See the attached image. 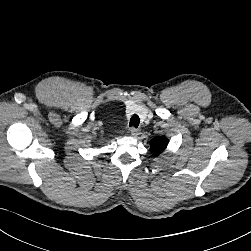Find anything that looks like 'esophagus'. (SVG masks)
<instances>
[{"instance_id":"obj_1","label":"esophagus","mask_w":251,"mask_h":251,"mask_svg":"<svg viewBox=\"0 0 251 251\" xmlns=\"http://www.w3.org/2000/svg\"><path fill=\"white\" fill-rule=\"evenodd\" d=\"M130 132H131L132 136H134V137L138 136L140 134V130H138V129L134 128V127H132L130 129Z\"/></svg>"}]
</instances>
